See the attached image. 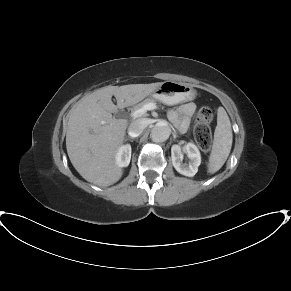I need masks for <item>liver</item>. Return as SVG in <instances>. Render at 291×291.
<instances>
[{"label":"liver","instance_id":"1","mask_svg":"<svg viewBox=\"0 0 291 291\" xmlns=\"http://www.w3.org/2000/svg\"><path fill=\"white\" fill-rule=\"evenodd\" d=\"M160 84L109 85L84 96L71 109L66 148L72 165L85 180L107 187L121 178L123 171L115 157L125 140L128 121L113 118L112 113L140 102Z\"/></svg>","mask_w":291,"mask_h":291}]
</instances>
